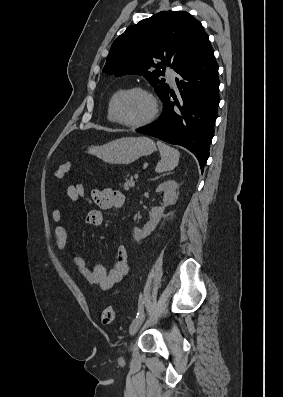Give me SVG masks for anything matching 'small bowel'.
<instances>
[{
    "label": "small bowel",
    "mask_w": 283,
    "mask_h": 397,
    "mask_svg": "<svg viewBox=\"0 0 283 397\" xmlns=\"http://www.w3.org/2000/svg\"><path fill=\"white\" fill-rule=\"evenodd\" d=\"M67 195L72 202L85 200L93 205L87 212L85 221L89 225H99L103 220V210L119 209L125 203V196L117 190L95 189L89 198L84 186L80 183L71 184L67 187ZM52 219L55 223L54 235L58 250L65 249L68 240V233L63 223V215L59 209L52 211ZM72 261L83 276L91 285L98 286L102 290H109L120 282L128 273V254L125 246L119 245L116 250L114 266L107 270L103 265L96 264L92 268L86 266L85 258L78 252L72 253Z\"/></svg>",
    "instance_id": "c3829d8e"
}]
</instances>
